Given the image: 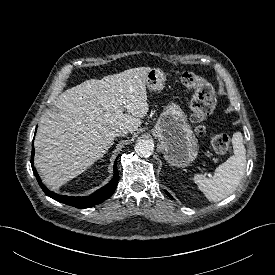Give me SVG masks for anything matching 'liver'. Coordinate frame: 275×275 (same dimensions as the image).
Masks as SVG:
<instances>
[{
    "mask_svg": "<svg viewBox=\"0 0 275 275\" xmlns=\"http://www.w3.org/2000/svg\"><path fill=\"white\" fill-rule=\"evenodd\" d=\"M150 69L86 80L59 95L54 109L42 115L34 140L35 167L48 187L59 188L101 159L117 130L138 129L148 112Z\"/></svg>",
    "mask_w": 275,
    "mask_h": 275,
    "instance_id": "obj_1",
    "label": "liver"
}]
</instances>
